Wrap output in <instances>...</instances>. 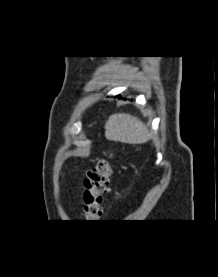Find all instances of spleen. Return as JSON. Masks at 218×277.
Listing matches in <instances>:
<instances>
[{
    "label": "spleen",
    "mask_w": 218,
    "mask_h": 277,
    "mask_svg": "<svg viewBox=\"0 0 218 277\" xmlns=\"http://www.w3.org/2000/svg\"><path fill=\"white\" fill-rule=\"evenodd\" d=\"M105 137L111 141L128 144H142L148 142L152 133L137 117L126 113H116L105 123Z\"/></svg>",
    "instance_id": "1"
}]
</instances>
